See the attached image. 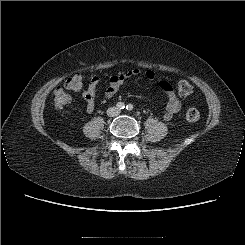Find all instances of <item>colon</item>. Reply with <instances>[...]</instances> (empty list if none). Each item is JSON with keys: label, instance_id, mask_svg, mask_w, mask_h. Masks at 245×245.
<instances>
[{"label": "colon", "instance_id": "5ec220e1", "mask_svg": "<svg viewBox=\"0 0 245 245\" xmlns=\"http://www.w3.org/2000/svg\"><path fill=\"white\" fill-rule=\"evenodd\" d=\"M65 89L59 87L54 93V107L57 110L63 109L71 102V95L66 91L81 92L84 88V79L81 75L75 74L67 79L64 85ZM178 93L180 96H189L193 92V86L187 81H180L178 84ZM189 122H196L200 119V113L195 108H190L185 114Z\"/></svg>", "mask_w": 245, "mask_h": 245}]
</instances>
